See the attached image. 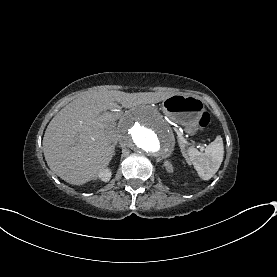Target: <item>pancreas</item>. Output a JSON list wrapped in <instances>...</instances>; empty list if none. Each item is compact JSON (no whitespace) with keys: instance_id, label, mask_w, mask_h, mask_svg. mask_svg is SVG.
Returning a JSON list of instances; mask_svg holds the SVG:
<instances>
[{"instance_id":"cf45deb5","label":"pancreas","mask_w":277,"mask_h":277,"mask_svg":"<svg viewBox=\"0 0 277 277\" xmlns=\"http://www.w3.org/2000/svg\"><path fill=\"white\" fill-rule=\"evenodd\" d=\"M173 135L178 140L179 145H181V146L186 145L187 140L185 138L184 132H182L179 129H176V130H174ZM182 155L185 158L190 157V155H191V149H190V147H188V146L183 147V149H182Z\"/></svg>"}]
</instances>
